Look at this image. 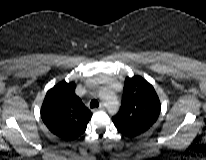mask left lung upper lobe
I'll return each mask as SVG.
<instances>
[{
    "instance_id": "5c2ea615",
    "label": "left lung upper lobe",
    "mask_w": 206,
    "mask_h": 160,
    "mask_svg": "<svg viewBox=\"0 0 206 160\" xmlns=\"http://www.w3.org/2000/svg\"><path fill=\"white\" fill-rule=\"evenodd\" d=\"M160 100L153 86L140 76L127 77L119 112L112 118L127 137L146 132L158 119Z\"/></svg>"
}]
</instances>
